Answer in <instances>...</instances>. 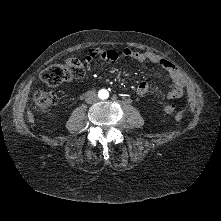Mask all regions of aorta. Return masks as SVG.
<instances>
[{"label": "aorta", "instance_id": "obj_1", "mask_svg": "<svg viewBox=\"0 0 221 221\" xmlns=\"http://www.w3.org/2000/svg\"><path fill=\"white\" fill-rule=\"evenodd\" d=\"M98 96H99V98H101V99H107L108 96H109V93H108L107 90L101 89V90L99 91V93H98Z\"/></svg>", "mask_w": 221, "mask_h": 221}]
</instances>
